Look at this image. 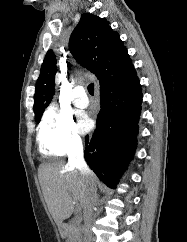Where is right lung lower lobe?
<instances>
[{"mask_svg":"<svg viewBox=\"0 0 187 242\" xmlns=\"http://www.w3.org/2000/svg\"><path fill=\"white\" fill-rule=\"evenodd\" d=\"M96 130L85 138L84 157L100 180L115 188L137 145L142 91L136 73L100 89Z\"/></svg>","mask_w":187,"mask_h":242,"instance_id":"1","label":"right lung lower lobe"}]
</instances>
